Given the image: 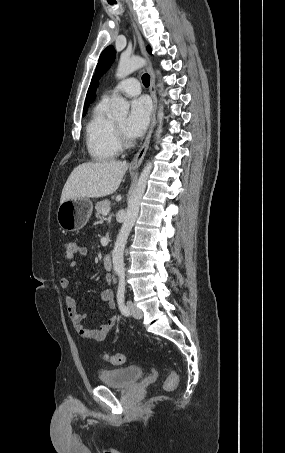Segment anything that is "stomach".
<instances>
[{
    "label": "stomach",
    "mask_w": 285,
    "mask_h": 453,
    "mask_svg": "<svg viewBox=\"0 0 285 453\" xmlns=\"http://www.w3.org/2000/svg\"><path fill=\"white\" fill-rule=\"evenodd\" d=\"M93 204L88 198H76L61 203L57 210V222L66 231H78L88 222Z\"/></svg>",
    "instance_id": "obj_1"
}]
</instances>
